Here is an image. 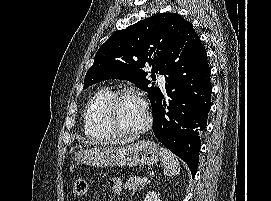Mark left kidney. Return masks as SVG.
I'll list each match as a JSON object with an SVG mask.
<instances>
[{"instance_id":"1","label":"left kidney","mask_w":271,"mask_h":201,"mask_svg":"<svg viewBox=\"0 0 271 201\" xmlns=\"http://www.w3.org/2000/svg\"><path fill=\"white\" fill-rule=\"evenodd\" d=\"M144 201H161L158 197V194L154 191L148 192Z\"/></svg>"}]
</instances>
